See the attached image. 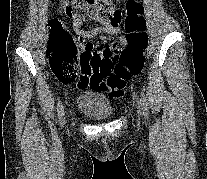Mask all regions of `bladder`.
<instances>
[{
	"mask_svg": "<svg viewBox=\"0 0 207 179\" xmlns=\"http://www.w3.org/2000/svg\"><path fill=\"white\" fill-rule=\"evenodd\" d=\"M78 111L93 121L110 119L114 110L107 97L98 90L83 92L77 97Z\"/></svg>",
	"mask_w": 207,
	"mask_h": 179,
	"instance_id": "31cf9c89",
	"label": "bladder"
}]
</instances>
